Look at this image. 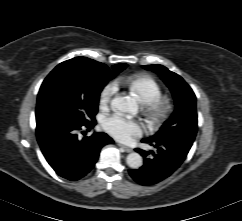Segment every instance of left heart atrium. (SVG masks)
I'll list each match as a JSON object with an SVG mask.
<instances>
[{"instance_id":"1","label":"left heart atrium","mask_w":242,"mask_h":221,"mask_svg":"<svg viewBox=\"0 0 242 221\" xmlns=\"http://www.w3.org/2000/svg\"><path fill=\"white\" fill-rule=\"evenodd\" d=\"M103 128L114 138L128 142L134 136H140L143 132L142 125L122 115L114 114L103 120Z\"/></svg>"}]
</instances>
